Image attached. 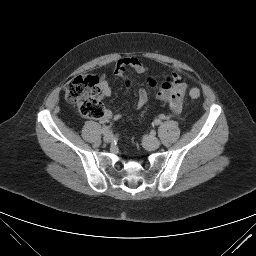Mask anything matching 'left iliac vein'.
<instances>
[{"instance_id":"obj_1","label":"left iliac vein","mask_w":256,"mask_h":256,"mask_svg":"<svg viewBox=\"0 0 256 256\" xmlns=\"http://www.w3.org/2000/svg\"><path fill=\"white\" fill-rule=\"evenodd\" d=\"M143 144H144L145 148H147L149 150H155V149L159 148L160 141L158 138L148 135L143 138Z\"/></svg>"}]
</instances>
